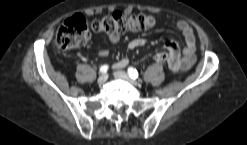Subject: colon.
<instances>
[{
    "mask_svg": "<svg viewBox=\"0 0 247 145\" xmlns=\"http://www.w3.org/2000/svg\"><path fill=\"white\" fill-rule=\"evenodd\" d=\"M155 26V18L148 14L126 15L121 12H113L92 22V30L103 34H123L127 31H146ZM90 37L85 18L76 14L66 20L58 29L55 47L59 51L72 49ZM166 53L156 56L159 62H167Z\"/></svg>",
    "mask_w": 247,
    "mask_h": 145,
    "instance_id": "1",
    "label": "colon"
}]
</instances>
